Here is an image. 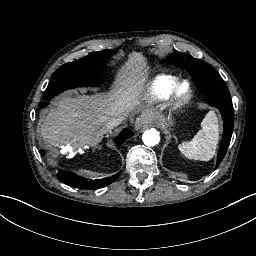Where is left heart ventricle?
Here are the masks:
<instances>
[{
  "label": "left heart ventricle",
  "instance_id": "1",
  "mask_svg": "<svg viewBox=\"0 0 256 256\" xmlns=\"http://www.w3.org/2000/svg\"><path fill=\"white\" fill-rule=\"evenodd\" d=\"M185 92H186V88H185V87H183V88L181 89V94H182V95H184V94H185Z\"/></svg>",
  "mask_w": 256,
  "mask_h": 256
}]
</instances>
